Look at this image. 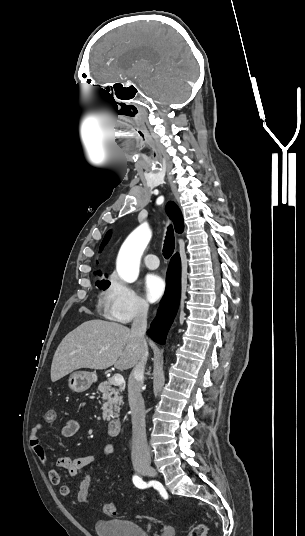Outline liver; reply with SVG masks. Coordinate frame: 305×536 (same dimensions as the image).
Listing matches in <instances>:
<instances>
[{"instance_id": "1", "label": "liver", "mask_w": 305, "mask_h": 536, "mask_svg": "<svg viewBox=\"0 0 305 536\" xmlns=\"http://www.w3.org/2000/svg\"><path fill=\"white\" fill-rule=\"evenodd\" d=\"M142 352L140 338L126 326L90 320L69 332L59 344L51 366V382L80 368L106 370L114 366L117 370H129L141 360Z\"/></svg>"}]
</instances>
